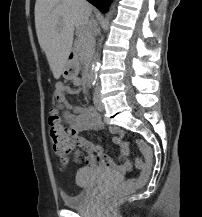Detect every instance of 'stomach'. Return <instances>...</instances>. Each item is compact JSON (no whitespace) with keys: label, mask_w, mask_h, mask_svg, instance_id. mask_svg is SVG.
Masks as SVG:
<instances>
[{"label":"stomach","mask_w":202,"mask_h":217,"mask_svg":"<svg viewBox=\"0 0 202 217\" xmlns=\"http://www.w3.org/2000/svg\"><path fill=\"white\" fill-rule=\"evenodd\" d=\"M78 73V63L73 60H67L61 73L63 77L66 79H73L78 75Z\"/></svg>","instance_id":"0dacf381"}]
</instances>
